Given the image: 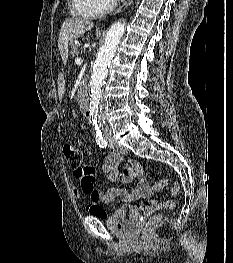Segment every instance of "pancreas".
Instances as JSON below:
<instances>
[{"label":"pancreas","instance_id":"obj_1","mask_svg":"<svg viewBox=\"0 0 233 263\" xmlns=\"http://www.w3.org/2000/svg\"><path fill=\"white\" fill-rule=\"evenodd\" d=\"M70 47H71V54H79L80 53V45L76 44L74 42L70 43Z\"/></svg>","mask_w":233,"mask_h":263}]
</instances>
